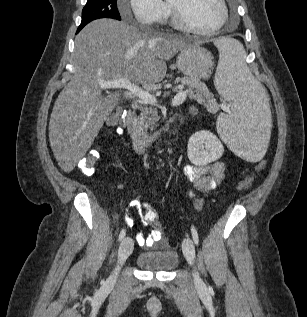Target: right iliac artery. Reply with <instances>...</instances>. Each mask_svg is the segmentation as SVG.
Instances as JSON below:
<instances>
[{
    "label": "right iliac artery",
    "instance_id": "obj_1",
    "mask_svg": "<svg viewBox=\"0 0 307 317\" xmlns=\"http://www.w3.org/2000/svg\"><path fill=\"white\" fill-rule=\"evenodd\" d=\"M125 234H126V230H125V229H122V231H121L120 234H119L118 240H119V241H122L123 238L125 237Z\"/></svg>",
    "mask_w": 307,
    "mask_h": 317
}]
</instances>
